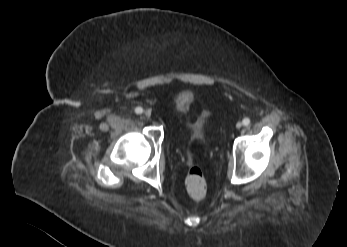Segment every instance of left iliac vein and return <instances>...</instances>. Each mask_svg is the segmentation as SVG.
I'll use <instances>...</instances> for the list:
<instances>
[{
  "label": "left iliac vein",
  "mask_w": 347,
  "mask_h": 247,
  "mask_svg": "<svg viewBox=\"0 0 347 247\" xmlns=\"http://www.w3.org/2000/svg\"><path fill=\"white\" fill-rule=\"evenodd\" d=\"M242 125H243V124H242L241 122H237L236 128H237V129H240V128L242 127Z\"/></svg>",
  "instance_id": "left-iliac-vein-1"
}]
</instances>
